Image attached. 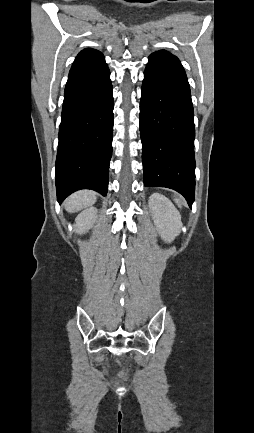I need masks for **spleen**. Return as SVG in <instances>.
Instances as JSON below:
<instances>
[{"mask_svg": "<svg viewBox=\"0 0 254 433\" xmlns=\"http://www.w3.org/2000/svg\"><path fill=\"white\" fill-rule=\"evenodd\" d=\"M175 202L179 205V206H181L182 205V202L180 201V199L179 198H175Z\"/></svg>", "mask_w": 254, "mask_h": 433, "instance_id": "1", "label": "spleen"}]
</instances>
